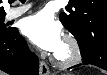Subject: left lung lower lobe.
Instances as JSON below:
<instances>
[{"mask_svg":"<svg viewBox=\"0 0 107 75\" xmlns=\"http://www.w3.org/2000/svg\"><path fill=\"white\" fill-rule=\"evenodd\" d=\"M94 40L95 48L88 57L83 58V62L107 70V42L100 36H94ZM77 66H80V64L71 68Z\"/></svg>","mask_w":107,"mask_h":75,"instance_id":"0a47b994","label":"left lung lower lobe"}]
</instances>
